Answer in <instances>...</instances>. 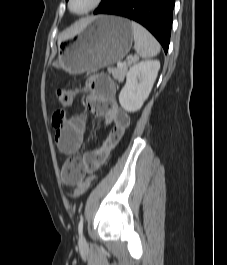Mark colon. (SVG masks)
I'll return each mask as SVG.
<instances>
[{"instance_id":"5ec220e1","label":"colon","mask_w":227,"mask_h":265,"mask_svg":"<svg viewBox=\"0 0 227 265\" xmlns=\"http://www.w3.org/2000/svg\"><path fill=\"white\" fill-rule=\"evenodd\" d=\"M74 91L68 88H61L56 90L55 92V99L63 106L67 107L69 106L74 97ZM65 120V112L63 110H58L55 112L53 116V126L55 128L60 127ZM78 157H72L65 161L62 167V176L65 180L69 181L70 180V175L72 172V169L78 164ZM96 179L95 175L88 176L84 181H82L75 191L73 192V197L78 198L81 195H83L92 185L94 180Z\"/></svg>"}]
</instances>
